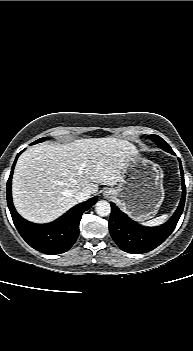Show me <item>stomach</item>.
Returning a JSON list of instances; mask_svg holds the SVG:
<instances>
[{"mask_svg": "<svg viewBox=\"0 0 193 351\" xmlns=\"http://www.w3.org/2000/svg\"><path fill=\"white\" fill-rule=\"evenodd\" d=\"M163 176L158 164L130 153L121 182L110 188L113 199L134 219H150L164 200Z\"/></svg>", "mask_w": 193, "mask_h": 351, "instance_id": "obj_1", "label": "stomach"}]
</instances>
